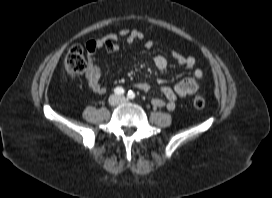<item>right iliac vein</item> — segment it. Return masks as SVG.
<instances>
[{
	"label": "right iliac vein",
	"instance_id": "1",
	"mask_svg": "<svg viewBox=\"0 0 272 198\" xmlns=\"http://www.w3.org/2000/svg\"><path fill=\"white\" fill-rule=\"evenodd\" d=\"M109 103H110L111 105H116V104H118V103H119V97L116 96V95L111 96L110 99H109Z\"/></svg>",
	"mask_w": 272,
	"mask_h": 198
}]
</instances>
